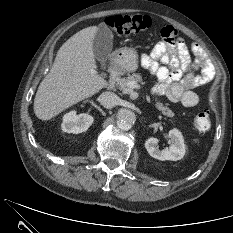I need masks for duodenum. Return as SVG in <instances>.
Instances as JSON below:
<instances>
[{
    "label": "duodenum",
    "instance_id": "410a0bca",
    "mask_svg": "<svg viewBox=\"0 0 233 233\" xmlns=\"http://www.w3.org/2000/svg\"><path fill=\"white\" fill-rule=\"evenodd\" d=\"M117 77H118V72L116 69H112L110 71V77H109V87H112L116 80H117Z\"/></svg>",
    "mask_w": 233,
    "mask_h": 233
}]
</instances>
